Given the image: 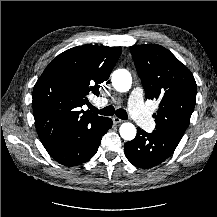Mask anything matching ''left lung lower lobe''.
<instances>
[{"label": "left lung lower lobe", "mask_w": 217, "mask_h": 217, "mask_svg": "<svg viewBox=\"0 0 217 217\" xmlns=\"http://www.w3.org/2000/svg\"><path fill=\"white\" fill-rule=\"evenodd\" d=\"M179 142L180 139L158 129L147 133L137 128L135 139L124 145L125 155L133 165L148 169L165 161Z\"/></svg>", "instance_id": "obj_1"}]
</instances>
